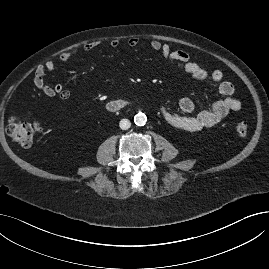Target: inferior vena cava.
Returning <instances> with one entry per match:
<instances>
[{
    "mask_svg": "<svg viewBox=\"0 0 269 269\" xmlns=\"http://www.w3.org/2000/svg\"><path fill=\"white\" fill-rule=\"evenodd\" d=\"M119 126L121 129L126 130V129L130 128L131 123L128 119H122L119 123Z\"/></svg>",
    "mask_w": 269,
    "mask_h": 269,
    "instance_id": "inferior-vena-cava-1",
    "label": "inferior vena cava"
}]
</instances>
